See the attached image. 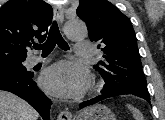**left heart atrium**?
Wrapping results in <instances>:
<instances>
[{"label":"left heart atrium","instance_id":"obj_1","mask_svg":"<svg viewBox=\"0 0 165 120\" xmlns=\"http://www.w3.org/2000/svg\"><path fill=\"white\" fill-rule=\"evenodd\" d=\"M89 82L87 69L69 61L51 65L40 77V84L46 91L64 98L79 96L88 88Z\"/></svg>","mask_w":165,"mask_h":120}]
</instances>
